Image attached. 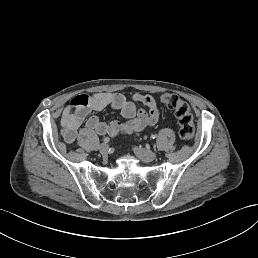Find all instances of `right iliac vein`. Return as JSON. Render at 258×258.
Returning a JSON list of instances; mask_svg holds the SVG:
<instances>
[{
	"label": "right iliac vein",
	"instance_id": "63e3f726",
	"mask_svg": "<svg viewBox=\"0 0 258 258\" xmlns=\"http://www.w3.org/2000/svg\"><path fill=\"white\" fill-rule=\"evenodd\" d=\"M98 150L102 154H107L110 151V146L107 143H102L99 145Z\"/></svg>",
	"mask_w": 258,
	"mask_h": 258
}]
</instances>
